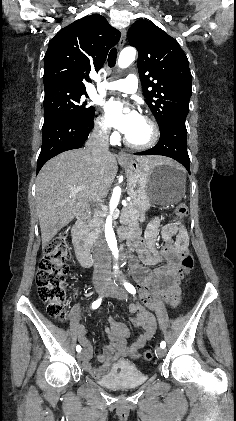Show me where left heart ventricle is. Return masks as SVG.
<instances>
[{"mask_svg":"<svg viewBox=\"0 0 236 421\" xmlns=\"http://www.w3.org/2000/svg\"><path fill=\"white\" fill-rule=\"evenodd\" d=\"M151 130L149 125L141 118L133 130L127 134L130 141L135 143H145L150 139Z\"/></svg>","mask_w":236,"mask_h":421,"instance_id":"b2bd125f","label":"left heart ventricle"}]
</instances>
